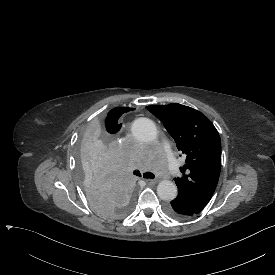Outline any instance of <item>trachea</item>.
<instances>
[{"mask_svg":"<svg viewBox=\"0 0 275 275\" xmlns=\"http://www.w3.org/2000/svg\"><path fill=\"white\" fill-rule=\"evenodd\" d=\"M134 175H137V176H141V173L139 172V170H135L133 172ZM143 177L146 178V179H153L154 178V175L150 172H145L143 173Z\"/></svg>","mask_w":275,"mask_h":275,"instance_id":"obj_1","label":"trachea"}]
</instances>
